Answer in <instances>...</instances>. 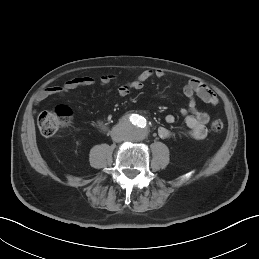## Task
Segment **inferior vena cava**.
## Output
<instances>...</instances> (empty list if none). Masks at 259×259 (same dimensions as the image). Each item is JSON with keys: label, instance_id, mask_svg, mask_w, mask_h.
Here are the masks:
<instances>
[{"label": "inferior vena cava", "instance_id": "602c4592", "mask_svg": "<svg viewBox=\"0 0 259 259\" xmlns=\"http://www.w3.org/2000/svg\"><path fill=\"white\" fill-rule=\"evenodd\" d=\"M111 137H112V140H114L116 142H120V141L124 140L123 135L117 130L112 132Z\"/></svg>", "mask_w": 259, "mask_h": 259}]
</instances>
